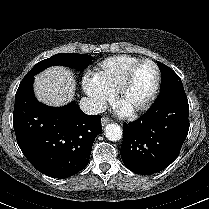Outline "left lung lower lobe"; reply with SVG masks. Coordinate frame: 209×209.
I'll use <instances>...</instances> for the list:
<instances>
[{"label":"left lung lower lobe","instance_id":"left-lung-lower-lobe-1","mask_svg":"<svg viewBox=\"0 0 209 209\" xmlns=\"http://www.w3.org/2000/svg\"><path fill=\"white\" fill-rule=\"evenodd\" d=\"M189 105L184 88L159 94L149 110L136 121L124 124L120 154L136 174L151 175L174 161L189 131Z\"/></svg>","mask_w":209,"mask_h":209}]
</instances>
